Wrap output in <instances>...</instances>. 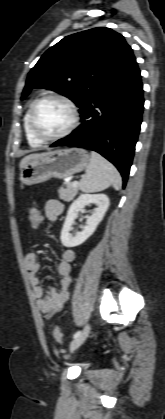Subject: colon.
<instances>
[{"mask_svg": "<svg viewBox=\"0 0 165 419\" xmlns=\"http://www.w3.org/2000/svg\"><path fill=\"white\" fill-rule=\"evenodd\" d=\"M40 221H41L40 211L37 208H31L29 211V222L32 225V227H37L40 224ZM53 337L57 343L59 344L63 343V334L59 327L53 328Z\"/></svg>", "mask_w": 165, "mask_h": 419, "instance_id": "colon-1", "label": "colon"}]
</instances>
